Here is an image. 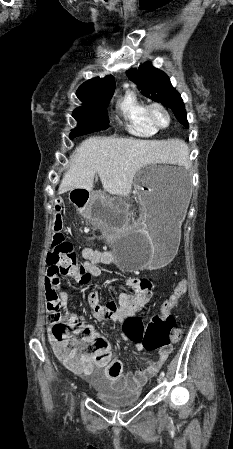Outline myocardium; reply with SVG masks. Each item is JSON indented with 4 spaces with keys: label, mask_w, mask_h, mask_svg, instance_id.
Wrapping results in <instances>:
<instances>
[{
    "label": "myocardium",
    "mask_w": 233,
    "mask_h": 449,
    "mask_svg": "<svg viewBox=\"0 0 233 449\" xmlns=\"http://www.w3.org/2000/svg\"><path fill=\"white\" fill-rule=\"evenodd\" d=\"M155 109L161 110L166 115L167 122H166L165 125H159L155 121V119L153 117V112H154ZM145 116H146L148 122L157 130L165 129L171 123V113H170V111L168 110V108L164 104H162L160 102H152V103L147 104L146 108H145Z\"/></svg>",
    "instance_id": "obj_1"
}]
</instances>
